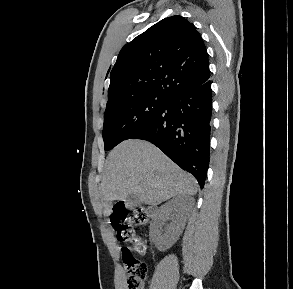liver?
<instances>
[{
    "instance_id": "1",
    "label": "liver",
    "mask_w": 293,
    "mask_h": 289,
    "mask_svg": "<svg viewBox=\"0 0 293 289\" xmlns=\"http://www.w3.org/2000/svg\"><path fill=\"white\" fill-rule=\"evenodd\" d=\"M99 190L106 203L135 194L141 203L157 205L179 194L195 195L198 186L156 146L126 140L108 154Z\"/></svg>"
}]
</instances>
